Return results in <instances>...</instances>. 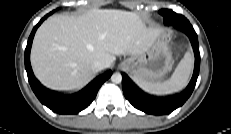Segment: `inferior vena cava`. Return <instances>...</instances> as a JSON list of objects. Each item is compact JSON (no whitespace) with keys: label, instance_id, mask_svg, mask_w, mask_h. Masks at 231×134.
I'll list each match as a JSON object with an SVG mask.
<instances>
[{"label":"inferior vena cava","instance_id":"inferior-vena-cava-1","mask_svg":"<svg viewBox=\"0 0 231 134\" xmlns=\"http://www.w3.org/2000/svg\"><path fill=\"white\" fill-rule=\"evenodd\" d=\"M104 67V64L102 61H95L93 64H92V68L97 72L101 69H103Z\"/></svg>","mask_w":231,"mask_h":134}]
</instances>
